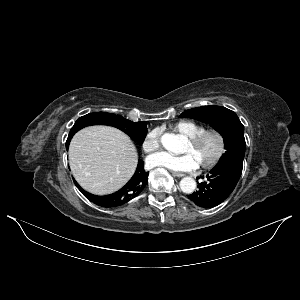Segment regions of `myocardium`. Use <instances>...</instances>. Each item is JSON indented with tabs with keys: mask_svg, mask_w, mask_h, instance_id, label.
Returning <instances> with one entry per match:
<instances>
[{
	"mask_svg": "<svg viewBox=\"0 0 300 300\" xmlns=\"http://www.w3.org/2000/svg\"><path fill=\"white\" fill-rule=\"evenodd\" d=\"M209 135H215L218 139V150L214 157L210 159L207 162L201 163L199 165L200 168L207 170L212 169L215 166H217L220 161L223 159L226 149H227V143L226 138L223 132L217 128H205L202 131L198 132L194 136L188 137V142L191 145H197L199 144L204 138H206Z\"/></svg>",
	"mask_w": 300,
	"mask_h": 300,
	"instance_id": "myocardium-1",
	"label": "myocardium"
}]
</instances>
